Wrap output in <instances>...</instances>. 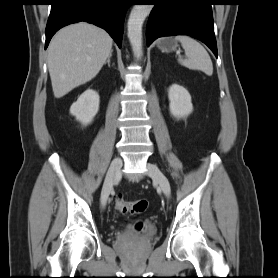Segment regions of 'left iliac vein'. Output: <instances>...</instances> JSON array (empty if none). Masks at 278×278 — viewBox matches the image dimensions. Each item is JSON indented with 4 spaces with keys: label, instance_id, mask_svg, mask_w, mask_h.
I'll list each match as a JSON object with an SVG mask.
<instances>
[{
    "label": "left iliac vein",
    "instance_id": "left-iliac-vein-1",
    "mask_svg": "<svg viewBox=\"0 0 278 278\" xmlns=\"http://www.w3.org/2000/svg\"><path fill=\"white\" fill-rule=\"evenodd\" d=\"M146 168H147V175L150 176L153 180H155L159 184L164 195L167 198H169L171 195V188H170V183H169L167 177L154 164L148 163L146 165Z\"/></svg>",
    "mask_w": 278,
    "mask_h": 278
}]
</instances>
